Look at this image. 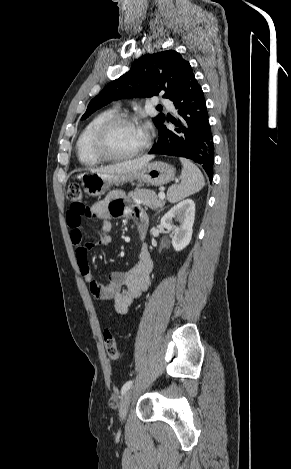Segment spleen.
I'll return each mask as SVG.
<instances>
[{
    "mask_svg": "<svg viewBox=\"0 0 291 469\" xmlns=\"http://www.w3.org/2000/svg\"><path fill=\"white\" fill-rule=\"evenodd\" d=\"M180 160L183 165L181 182L169 187L167 192V199L171 203H176L199 192L205 185L203 174L199 168L187 159L181 158Z\"/></svg>",
    "mask_w": 291,
    "mask_h": 469,
    "instance_id": "obj_1",
    "label": "spleen"
}]
</instances>
